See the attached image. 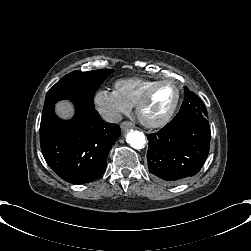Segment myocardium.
<instances>
[{
  "label": "myocardium",
  "instance_id": "myocardium-1",
  "mask_svg": "<svg viewBox=\"0 0 251 251\" xmlns=\"http://www.w3.org/2000/svg\"><path fill=\"white\" fill-rule=\"evenodd\" d=\"M164 82H174L175 84H177L178 89H179V97H178L177 103L174 106V108L161 120L149 121L143 115L144 108L146 107L149 99L151 98V96H152L153 92L156 90V88ZM184 94H185V87H184L183 83L177 82V81H175L171 78H168V77H163L161 79L156 80L145 90L144 94L142 95V97L139 99V101L135 105L136 114H137L139 121L147 128H160V127L165 126L173 119V117L179 111V109L183 103V100H184Z\"/></svg>",
  "mask_w": 251,
  "mask_h": 251
}]
</instances>
